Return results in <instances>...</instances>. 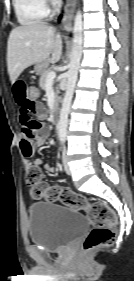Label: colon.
<instances>
[{
  "label": "colon",
  "mask_w": 134,
  "mask_h": 281,
  "mask_svg": "<svg viewBox=\"0 0 134 281\" xmlns=\"http://www.w3.org/2000/svg\"><path fill=\"white\" fill-rule=\"evenodd\" d=\"M28 98L37 101L39 88L36 85L28 86ZM26 183L34 198H45L51 202H61L71 208L83 210L87 213L92 230L83 243L86 252L111 245L116 236L117 218L113 210L104 202H90L82 195L72 190L49 185L43 180L42 171L39 167L32 166L26 170Z\"/></svg>",
  "instance_id": "5ec220e1"
}]
</instances>
